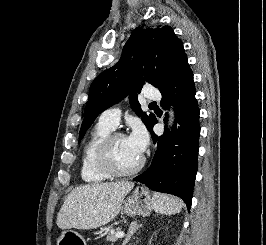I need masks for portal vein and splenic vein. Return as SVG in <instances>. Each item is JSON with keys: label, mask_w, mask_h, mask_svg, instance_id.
<instances>
[{"label": "portal vein and splenic vein", "mask_w": 266, "mask_h": 245, "mask_svg": "<svg viewBox=\"0 0 266 245\" xmlns=\"http://www.w3.org/2000/svg\"><path fill=\"white\" fill-rule=\"evenodd\" d=\"M125 233H117L116 237H118V239H122V237H124Z\"/></svg>", "instance_id": "18ae733b"}]
</instances>
